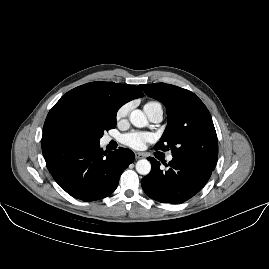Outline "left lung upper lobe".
I'll use <instances>...</instances> for the list:
<instances>
[{"label":"left lung upper lobe","mask_w":269,"mask_h":269,"mask_svg":"<svg viewBox=\"0 0 269 269\" xmlns=\"http://www.w3.org/2000/svg\"><path fill=\"white\" fill-rule=\"evenodd\" d=\"M149 96L162 102L168 125L155 149L171 148L172 156L214 169L218 141L213 121L203 102L191 91L156 83L140 85Z\"/></svg>","instance_id":"5c2ea615"}]
</instances>
